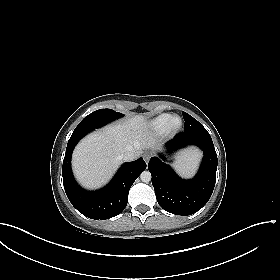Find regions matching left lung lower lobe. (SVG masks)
Wrapping results in <instances>:
<instances>
[{
    "label": "left lung lower lobe",
    "mask_w": 280,
    "mask_h": 280,
    "mask_svg": "<svg viewBox=\"0 0 280 280\" xmlns=\"http://www.w3.org/2000/svg\"><path fill=\"white\" fill-rule=\"evenodd\" d=\"M191 144L204 152L201 167L193 179H181L158 157H152L148 163L159 205L175 215L187 216L200 210L211 197L216 182L217 154L207 130L179 133L167 147L173 152Z\"/></svg>",
    "instance_id": "1"
}]
</instances>
